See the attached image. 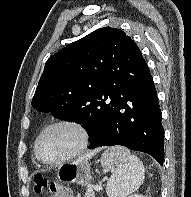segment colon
I'll return each mask as SVG.
<instances>
[{
	"label": "colon",
	"mask_w": 191,
	"mask_h": 197,
	"mask_svg": "<svg viewBox=\"0 0 191 197\" xmlns=\"http://www.w3.org/2000/svg\"><path fill=\"white\" fill-rule=\"evenodd\" d=\"M34 181V192L36 194L43 193L46 189H50L54 194L59 195L60 197H69V192L67 190L62 189L54 183H50L49 180L41 175L36 174L33 178Z\"/></svg>",
	"instance_id": "5ec220e1"
}]
</instances>
